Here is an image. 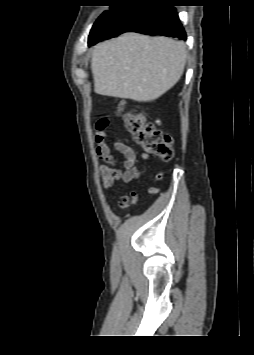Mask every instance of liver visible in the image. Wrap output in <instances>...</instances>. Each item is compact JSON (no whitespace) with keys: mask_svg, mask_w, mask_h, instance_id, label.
Listing matches in <instances>:
<instances>
[{"mask_svg":"<svg viewBox=\"0 0 254 355\" xmlns=\"http://www.w3.org/2000/svg\"><path fill=\"white\" fill-rule=\"evenodd\" d=\"M186 59L183 41L125 33L94 47L91 70L95 92L138 102L154 101L179 81Z\"/></svg>","mask_w":254,"mask_h":355,"instance_id":"liver-1","label":"liver"}]
</instances>
